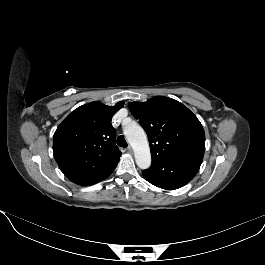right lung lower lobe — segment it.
Segmentation results:
<instances>
[{
  "mask_svg": "<svg viewBox=\"0 0 265 265\" xmlns=\"http://www.w3.org/2000/svg\"><path fill=\"white\" fill-rule=\"evenodd\" d=\"M114 169L115 168L103 171L85 170L77 172H68L65 173V176L76 184H79L81 186H88L105 179L113 172Z\"/></svg>",
  "mask_w": 265,
  "mask_h": 265,
  "instance_id": "98d812e1",
  "label": "right lung lower lobe"
}]
</instances>
